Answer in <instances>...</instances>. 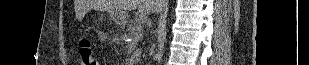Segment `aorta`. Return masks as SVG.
Segmentation results:
<instances>
[{
  "label": "aorta",
  "mask_w": 309,
  "mask_h": 65,
  "mask_svg": "<svg viewBox=\"0 0 309 65\" xmlns=\"http://www.w3.org/2000/svg\"><path fill=\"white\" fill-rule=\"evenodd\" d=\"M164 49V43H163V40L160 41V52L158 54V60H161L162 58V51Z\"/></svg>",
  "instance_id": "1"
}]
</instances>
